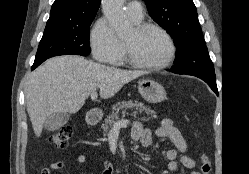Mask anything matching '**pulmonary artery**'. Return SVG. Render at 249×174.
Instances as JSON below:
<instances>
[{"label": "pulmonary artery", "instance_id": "obj_1", "mask_svg": "<svg viewBox=\"0 0 249 174\" xmlns=\"http://www.w3.org/2000/svg\"><path fill=\"white\" fill-rule=\"evenodd\" d=\"M126 12L134 21H141L143 18V7L139 1H131L126 6Z\"/></svg>", "mask_w": 249, "mask_h": 174}]
</instances>
